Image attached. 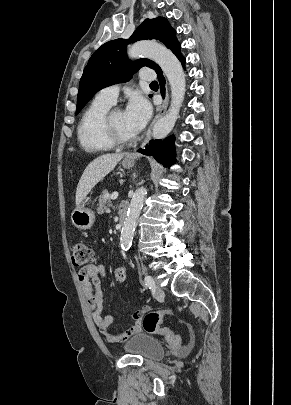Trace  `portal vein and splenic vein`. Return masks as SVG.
Here are the masks:
<instances>
[{"mask_svg": "<svg viewBox=\"0 0 291 405\" xmlns=\"http://www.w3.org/2000/svg\"><path fill=\"white\" fill-rule=\"evenodd\" d=\"M110 198H111L112 200L117 199V198H118V192H113L112 195L110 196Z\"/></svg>", "mask_w": 291, "mask_h": 405, "instance_id": "18ae733b", "label": "portal vein and splenic vein"}]
</instances>
